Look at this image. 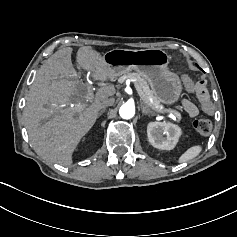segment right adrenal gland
<instances>
[{
	"label": "right adrenal gland",
	"instance_id": "obj_1",
	"mask_svg": "<svg viewBox=\"0 0 237 237\" xmlns=\"http://www.w3.org/2000/svg\"><path fill=\"white\" fill-rule=\"evenodd\" d=\"M104 112H105V109H102V110L98 113V117H100Z\"/></svg>",
	"mask_w": 237,
	"mask_h": 237
}]
</instances>
